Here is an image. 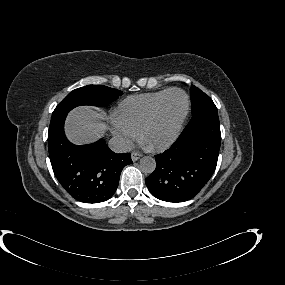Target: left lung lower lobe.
<instances>
[{"instance_id": "1", "label": "left lung lower lobe", "mask_w": 285, "mask_h": 285, "mask_svg": "<svg viewBox=\"0 0 285 285\" xmlns=\"http://www.w3.org/2000/svg\"><path fill=\"white\" fill-rule=\"evenodd\" d=\"M221 142L215 105L193 114L176 142L155 156L156 169L145 179L148 190L167 202L192 199L215 171Z\"/></svg>"}]
</instances>
